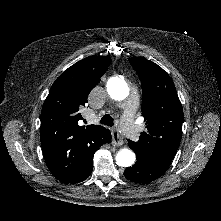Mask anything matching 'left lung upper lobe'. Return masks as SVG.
I'll return each mask as SVG.
<instances>
[{"label": "left lung upper lobe", "instance_id": "5c2ea615", "mask_svg": "<svg viewBox=\"0 0 221 221\" xmlns=\"http://www.w3.org/2000/svg\"><path fill=\"white\" fill-rule=\"evenodd\" d=\"M142 83V115L146 130L137 142L128 140L137 161L171 162L181 141L183 108L172 79L145 58H129Z\"/></svg>", "mask_w": 221, "mask_h": 221}]
</instances>
